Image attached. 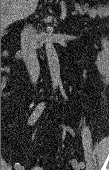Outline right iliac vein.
Listing matches in <instances>:
<instances>
[{
  "label": "right iliac vein",
  "instance_id": "1",
  "mask_svg": "<svg viewBox=\"0 0 109 170\" xmlns=\"http://www.w3.org/2000/svg\"><path fill=\"white\" fill-rule=\"evenodd\" d=\"M17 170H24V167L20 166Z\"/></svg>",
  "mask_w": 109,
  "mask_h": 170
}]
</instances>
